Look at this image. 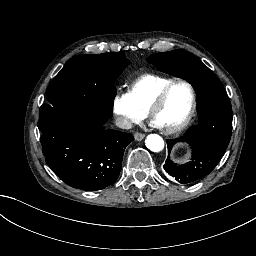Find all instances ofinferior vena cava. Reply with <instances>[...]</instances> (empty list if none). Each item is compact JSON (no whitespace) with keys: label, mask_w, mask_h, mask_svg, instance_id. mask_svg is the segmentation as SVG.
Returning <instances> with one entry per match:
<instances>
[{"label":"inferior vena cava","mask_w":256,"mask_h":256,"mask_svg":"<svg viewBox=\"0 0 256 256\" xmlns=\"http://www.w3.org/2000/svg\"><path fill=\"white\" fill-rule=\"evenodd\" d=\"M115 124L121 129H131L132 123L124 116H118L115 119Z\"/></svg>","instance_id":"1"}]
</instances>
